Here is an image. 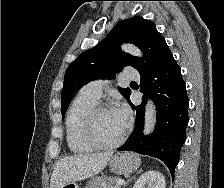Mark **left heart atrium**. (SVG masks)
Instances as JSON below:
<instances>
[{
  "mask_svg": "<svg viewBox=\"0 0 224 188\" xmlns=\"http://www.w3.org/2000/svg\"><path fill=\"white\" fill-rule=\"evenodd\" d=\"M113 110L117 114V116L121 119V121L125 125H127L131 115L129 107L124 103H119L118 105L115 106Z\"/></svg>",
  "mask_w": 224,
  "mask_h": 188,
  "instance_id": "obj_1",
  "label": "left heart atrium"
}]
</instances>
